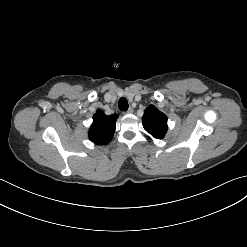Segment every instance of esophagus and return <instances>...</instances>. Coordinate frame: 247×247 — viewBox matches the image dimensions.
Listing matches in <instances>:
<instances>
[{
	"label": "esophagus",
	"mask_w": 247,
	"mask_h": 247,
	"mask_svg": "<svg viewBox=\"0 0 247 247\" xmlns=\"http://www.w3.org/2000/svg\"><path fill=\"white\" fill-rule=\"evenodd\" d=\"M124 114H131L133 113V109L129 108L127 111L123 112Z\"/></svg>",
	"instance_id": "esophagus-1"
}]
</instances>
